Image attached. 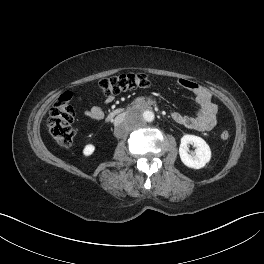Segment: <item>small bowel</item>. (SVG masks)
I'll return each instance as SVG.
<instances>
[{
    "instance_id": "1",
    "label": "small bowel",
    "mask_w": 264,
    "mask_h": 264,
    "mask_svg": "<svg viewBox=\"0 0 264 264\" xmlns=\"http://www.w3.org/2000/svg\"><path fill=\"white\" fill-rule=\"evenodd\" d=\"M179 86L191 91L196 98L197 112L195 116H188L179 112H171V118L179 125L187 129L199 132L210 131L216 123L217 106L212 100L211 94L198 83L188 80L179 79ZM114 97L106 96L104 104H110ZM85 115L93 120L99 121L104 118L105 111L103 106H92L85 110Z\"/></svg>"
}]
</instances>
